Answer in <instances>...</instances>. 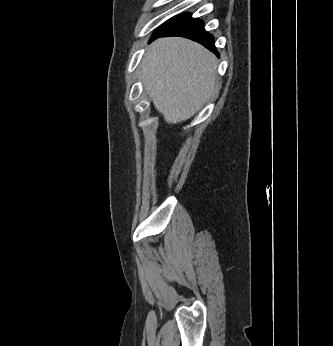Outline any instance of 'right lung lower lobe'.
<instances>
[{
    "label": "right lung lower lobe",
    "instance_id": "1",
    "mask_svg": "<svg viewBox=\"0 0 333 346\" xmlns=\"http://www.w3.org/2000/svg\"><path fill=\"white\" fill-rule=\"evenodd\" d=\"M180 36L196 41L218 56L214 44V37L204 29V22L198 18H192L190 13H184L163 31L154 33L151 40L158 37Z\"/></svg>",
    "mask_w": 333,
    "mask_h": 346
}]
</instances>
